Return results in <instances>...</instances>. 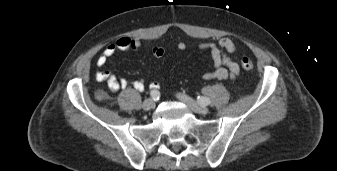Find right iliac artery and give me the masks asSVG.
<instances>
[{
    "mask_svg": "<svg viewBox=\"0 0 337 171\" xmlns=\"http://www.w3.org/2000/svg\"><path fill=\"white\" fill-rule=\"evenodd\" d=\"M150 95L153 98V100H155V101L159 100V98H160V92L158 90H152L150 92Z\"/></svg>",
    "mask_w": 337,
    "mask_h": 171,
    "instance_id": "obj_1",
    "label": "right iliac artery"
}]
</instances>
